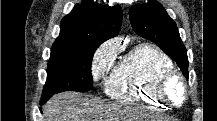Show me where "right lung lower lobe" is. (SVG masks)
Here are the masks:
<instances>
[{
  "label": "right lung lower lobe",
  "mask_w": 217,
  "mask_h": 121,
  "mask_svg": "<svg viewBox=\"0 0 217 121\" xmlns=\"http://www.w3.org/2000/svg\"><path fill=\"white\" fill-rule=\"evenodd\" d=\"M48 99H41L40 101V105H43V103H45Z\"/></svg>",
  "instance_id": "right-lung-lower-lobe-1"
}]
</instances>
